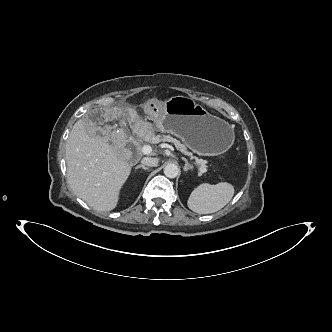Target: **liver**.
I'll return each mask as SVG.
<instances>
[{"instance_id":"liver-1","label":"liver","mask_w":332,"mask_h":332,"mask_svg":"<svg viewBox=\"0 0 332 332\" xmlns=\"http://www.w3.org/2000/svg\"><path fill=\"white\" fill-rule=\"evenodd\" d=\"M88 122L77 121L66 143L67 181L72 191L100 212L113 210L131 173L126 162L106 142L88 133Z\"/></svg>"}]
</instances>
